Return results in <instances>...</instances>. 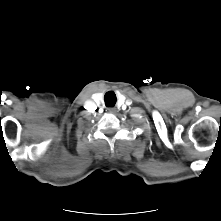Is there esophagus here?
I'll list each match as a JSON object with an SVG mask.
<instances>
[{
    "label": "esophagus",
    "mask_w": 221,
    "mask_h": 221,
    "mask_svg": "<svg viewBox=\"0 0 221 221\" xmlns=\"http://www.w3.org/2000/svg\"><path fill=\"white\" fill-rule=\"evenodd\" d=\"M108 112H109L110 114H114V113H116V108H113V107L108 108Z\"/></svg>",
    "instance_id": "obj_1"
}]
</instances>
